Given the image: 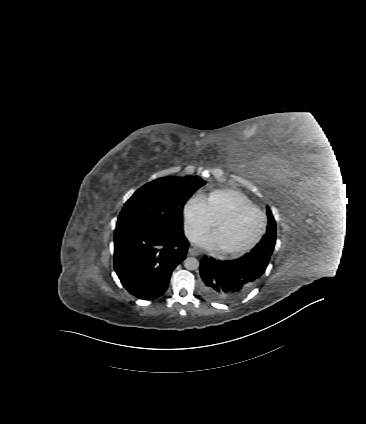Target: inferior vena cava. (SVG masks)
<instances>
[{
    "label": "inferior vena cava",
    "mask_w": 366,
    "mask_h": 424,
    "mask_svg": "<svg viewBox=\"0 0 366 424\" xmlns=\"http://www.w3.org/2000/svg\"><path fill=\"white\" fill-rule=\"evenodd\" d=\"M185 236L190 242H195L197 240L196 232L188 227L185 228Z\"/></svg>",
    "instance_id": "602c4592"
}]
</instances>
